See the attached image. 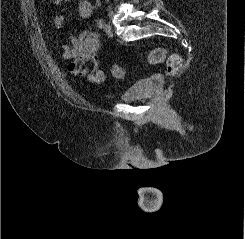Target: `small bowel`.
<instances>
[{
	"mask_svg": "<svg viewBox=\"0 0 245 239\" xmlns=\"http://www.w3.org/2000/svg\"><path fill=\"white\" fill-rule=\"evenodd\" d=\"M64 0H53L55 6L60 5ZM79 15L82 18H90L93 7L88 0H80L77 6ZM64 15H56L53 25L58 33L64 31ZM99 40L92 29H87L70 39V43L63 45L62 58L69 62L68 70L72 76L85 77L91 85H100L107 79L106 74L99 66Z\"/></svg>",
	"mask_w": 245,
	"mask_h": 239,
	"instance_id": "obj_1",
	"label": "small bowel"
}]
</instances>
